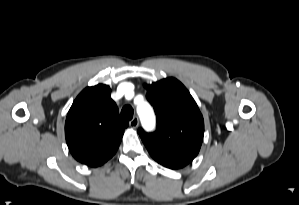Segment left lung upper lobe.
<instances>
[{
    "instance_id": "obj_1",
    "label": "left lung upper lobe",
    "mask_w": 299,
    "mask_h": 205,
    "mask_svg": "<svg viewBox=\"0 0 299 205\" xmlns=\"http://www.w3.org/2000/svg\"><path fill=\"white\" fill-rule=\"evenodd\" d=\"M145 87L147 100L154 107L158 124L151 133L138 129L143 143L182 142L201 146L203 116L184 85L175 78H166Z\"/></svg>"
}]
</instances>
